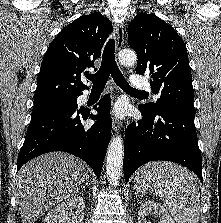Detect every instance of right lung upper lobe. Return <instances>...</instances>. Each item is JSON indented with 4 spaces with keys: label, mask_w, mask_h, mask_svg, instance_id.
<instances>
[{
    "label": "right lung upper lobe",
    "mask_w": 221,
    "mask_h": 223,
    "mask_svg": "<svg viewBox=\"0 0 221 223\" xmlns=\"http://www.w3.org/2000/svg\"><path fill=\"white\" fill-rule=\"evenodd\" d=\"M112 24L100 13L83 15L67 25L51 42L37 78L34 105L77 98L84 89L81 73L94 67Z\"/></svg>",
    "instance_id": "obj_1"
}]
</instances>
